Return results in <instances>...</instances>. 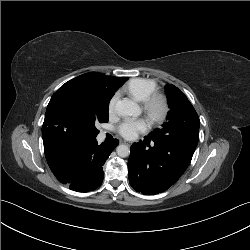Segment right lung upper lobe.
<instances>
[{"label":"right lung upper lobe","mask_w":250,"mask_h":250,"mask_svg":"<svg viewBox=\"0 0 250 250\" xmlns=\"http://www.w3.org/2000/svg\"><path fill=\"white\" fill-rule=\"evenodd\" d=\"M86 74H92L97 77H100L109 86L115 88L116 90L128 79L127 77H112V76H106V75L95 73V72L86 73ZM42 137H43V142H44L45 155L51 154L52 152L56 151L60 146H62L65 143L64 141L54 139L53 137L49 135V133L47 132L45 121H44L43 128H42Z\"/></svg>","instance_id":"1"}]
</instances>
